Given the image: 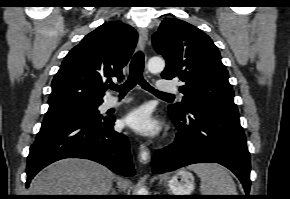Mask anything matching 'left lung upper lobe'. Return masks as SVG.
Returning <instances> with one entry per match:
<instances>
[{
    "instance_id": "5c2ea615",
    "label": "left lung upper lobe",
    "mask_w": 290,
    "mask_h": 199,
    "mask_svg": "<svg viewBox=\"0 0 290 199\" xmlns=\"http://www.w3.org/2000/svg\"><path fill=\"white\" fill-rule=\"evenodd\" d=\"M152 41L156 52L166 59L162 78L179 79L182 84V102L169 105V111L180 113L200 104L238 114L227 69L209 36L185 21L165 19Z\"/></svg>"
}]
</instances>
